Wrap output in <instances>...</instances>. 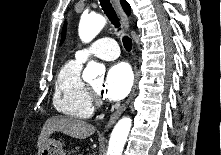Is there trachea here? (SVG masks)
Wrapping results in <instances>:
<instances>
[{
  "mask_svg": "<svg viewBox=\"0 0 221 155\" xmlns=\"http://www.w3.org/2000/svg\"><path fill=\"white\" fill-rule=\"evenodd\" d=\"M99 1L108 19L118 30H120V22H119L116 12L114 11V8L112 7V4L110 3V0H99ZM122 40H123L124 48L127 51H131L132 40L128 36H123Z\"/></svg>",
  "mask_w": 221,
  "mask_h": 155,
  "instance_id": "trachea-1",
  "label": "trachea"
}]
</instances>
